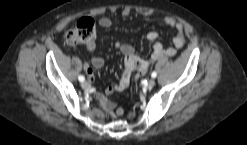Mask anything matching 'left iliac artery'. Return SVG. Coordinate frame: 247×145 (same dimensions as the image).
<instances>
[{"label": "left iliac artery", "mask_w": 247, "mask_h": 145, "mask_svg": "<svg viewBox=\"0 0 247 145\" xmlns=\"http://www.w3.org/2000/svg\"><path fill=\"white\" fill-rule=\"evenodd\" d=\"M151 76H152V78H156L157 73L155 71H153L152 74H151Z\"/></svg>", "instance_id": "obj_1"}]
</instances>
